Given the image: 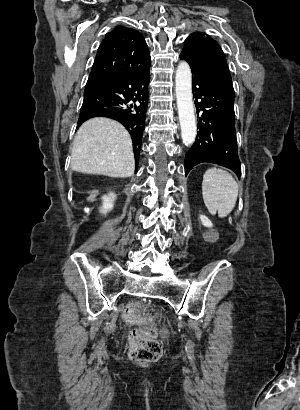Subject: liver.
I'll use <instances>...</instances> for the list:
<instances>
[{
    "label": "liver",
    "mask_w": 300,
    "mask_h": 410,
    "mask_svg": "<svg viewBox=\"0 0 300 410\" xmlns=\"http://www.w3.org/2000/svg\"><path fill=\"white\" fill-rule=\"evenodd\" d=\"M71 156V169L80 173L116 178L134 174L131 137L119 122L108 118H93L81 125Z\"/></svg>",
    "instance_id": "liver-1"
}]
</instances>
